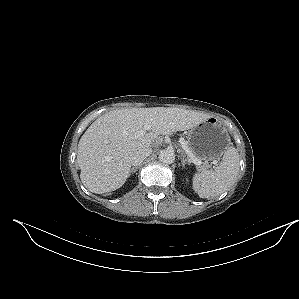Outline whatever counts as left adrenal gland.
Listing matches in <instances>:
<instances>
[{
  "instance_id": "obj_1",
  "label": "left adrenal gland",
  "mask_w": 299,
  "mask_h": 299,
  "mask_svg": "<svg viewBox=\"0 0 299 299\" xmlns=\"http://www.w3.org/2000/svg\"><path fill=\"white\" fill-rule=\"evenodd\" d=\"M181 163H182V167L185 168V165L188 164L190 165V163L188 162V160L185 158V155L182 153L181 154Z\"/></svg>"
}]
</instances>
